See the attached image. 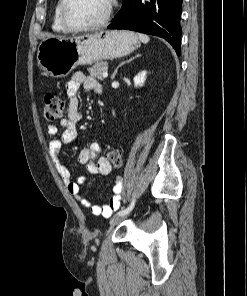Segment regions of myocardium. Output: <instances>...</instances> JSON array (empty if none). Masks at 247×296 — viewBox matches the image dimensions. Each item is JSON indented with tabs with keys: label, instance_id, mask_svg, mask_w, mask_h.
<instances>
[{
	"label": "myocardium",
	"instance_id": "1",
	"mask_svg": "<svg viewBox=\"0 0 247 296\" xmlns=\"http://www.w3.org/2000/svg\"><path fill=\"white\" fill-rule=\"evenodd\" d=\"M71 4V0H62L60 6V20L62 25L70 32H86L93 31L105 27L111 20L113 14V1L108 0V9L103 19L95 24L91 25H76L74 24L68 15V10Z\"/></svg>",
	"mask_w": 247,
	"mask_h": 296
}]
</instances>
